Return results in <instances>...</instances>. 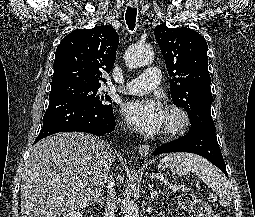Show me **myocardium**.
Masks as SVG:
<instances>
[{"mask_svg":"<svg viewBox=\"0 0 255 217\" xmlns=\"http://www.w3.org/2000/svg\"><path fill=\"white\" fill-rule=\"evenodd\" d=\"M166 112L175 114L178 117V123L174 127L163 130L161 138L173 140L185 134L190 126V117L187 111L178 104H169L166 107Z\"/></svg>","mask_w":255,"mask_h":217,"instance_id":"myocardium-1","label":"myocardium"}]
</instances>
